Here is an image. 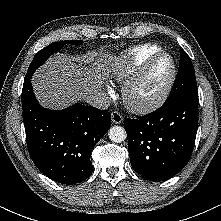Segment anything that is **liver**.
I'll return each instance as SVG.
<instances>
[{
	"label": "liver",
	"mask_w": 221,
	"mask_h": 221,
	"mask_svg": "<svg viewBox=\"0 0 221 221\" xmlns=\"http://www.w3.org/2000/svg\"><path fill=\"white\" fill-rule=\"evenodd\" d=\"M107 57L88 58L84 64L63 53L49 58L32 78L37 99L50 109H62L75 101H85L88 95L101 90L105 72L109 70L107 65L113 72L122 68L123 61Z\"/></svg>",
	"instance_id": "obj_1"
}]
</instances>
